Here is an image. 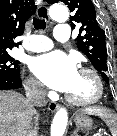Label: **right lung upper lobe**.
Instances as JSON below:
<instances>
[{"instance_id": "right-lung-upper-lobe-1", "label": "right lung upper lobe", "mask_w": 117, "mask_h": 136, "mask_svg": "<svg viewBox=\"0 0 117 136\" xmlns=\"http://www.w3.org/2000/svg\"><path fill=\"white\" fill-rule=\"evenodd\" d=\"M36 12L34 0H0V54H7L23 34L26 21Z\"/></svg>"}]
</instances>
